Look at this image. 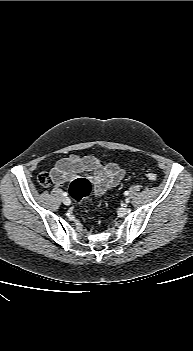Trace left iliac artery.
<instances>
[{
	"label": "left iliac artery",
	"instance_id": "left-iliac-artery-1",
	"mask_svg": "<svg viewBox=\"0 0 193 351\" xmlns=\"http://www.w3.org/2000/svg\"><path fill=\"white\" fill-rule=\"evenodd\" d=\"M124 194H125L126 196H128V195H129V192H128V191H125Z\"/></svg>",
	"mask_w": 193,
	"mask_h": 351
}]
</instances>
